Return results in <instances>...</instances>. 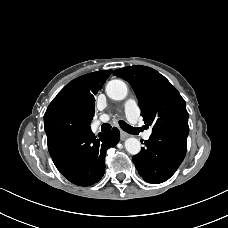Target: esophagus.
Instances as JSON below:
<instances>
[{
  "mask_svg": "<svg viewBox=\"0 0 228 228\" xmlns=\"http://www.w3.org/2000/svg\"><path fill=\"white\" fill-rule=\"evenodd\" d=\"M130 135L124 131H120V137L121 140H125L126 138H128Z\"/></svg>",
  "mask_w": 228,
  "mask_h": 228,
  "instance_id": "34e87169",
  "label": "esophagus"
}]
</instances>
